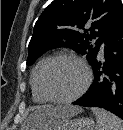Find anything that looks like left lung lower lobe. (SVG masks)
Segmentation results:
<instances>
[{"label": "left lung lower lobe", "instance_id": "left-lung-lower-lobe-1", "mask_svg": "<svg viewBox=\"0 0 123 130\" xmlns=\"http://www.w3.org/2000/svg\"><path fill=\"white\" fill-rule=\"evenodd\" d=\"M105 43L104 61L97 55L91 63L93 85L73 104L104 108L123 119V17Z\"/></svg>", "mask_w": 123, "mask_h": 130}]
</instances>
